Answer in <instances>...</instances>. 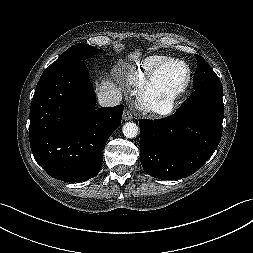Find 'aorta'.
<instances>
[{
  "label": "aorta",
  "mask_w": 253,
  "mask_h": 253,
  "mask_svg": "<svg viewBox=\"0 0 253 253\" xmlns=\"http://www.w3.org/2000/svg\"><path fill=\"white\" fill-rule=\"evenodd\" d=\"M123 134L127 138H134L138 135V126L133 122H127L123 126Z\"/></svg>",
  "instance_id": "obj_1"
}]
</instances>
